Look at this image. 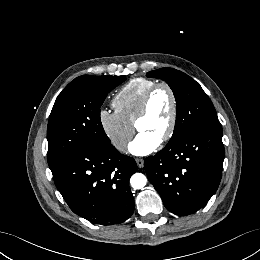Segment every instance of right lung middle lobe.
Masks as SVG:
<instances>
[{"label":"right lung middle lobe","mask_w":260,"mask_h":260,"mask_svg":"<svg viewBox=\"0 0 260 260\" xmlns=\"http://www.w3.org/2000/svg\"><path fill=\"white\" fill-rule=\"evenodd\" d=\"M125 80V76L83 75L60 93L47 128L50 168L74 151L113 147L100 120V107L107 94Z\"/></svg>","instance_id":"dd1d6c3e"}]
</instances>
